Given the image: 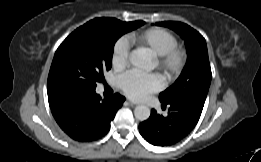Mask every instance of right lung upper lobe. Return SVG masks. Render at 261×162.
I'll list each match as a JSON object with an SVG mask.
<instances>
[{
  "mask_svg": "<svg viewBox=\"0 0 261 162\" xmlns=\"http://www.w3.org/2000/svg\"><path fill=\"white\" fill-rule=\"evenodd\" d=\"M49 105H50V107H51V106L55 105V103H49Z\"/></svg>",
  "mask_w": 261,
  "mask_h": 162,
  "instance_id": "cb5924a9",
  "label": "right lung upper lobe"
}]
</instances>
